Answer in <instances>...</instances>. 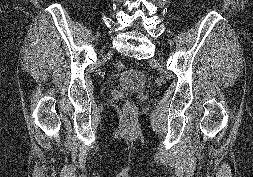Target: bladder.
<instances>
[{
    "label": "bladder",
    "mask_w": 253,
    "mask_h": 177,
    "mask_svg": "<svg viewBox=\"0 0 253 177\" xmlns=\"http://www.w3.org/2000/svg\"><path fill=\"white\" fill-rule=\"evenodd\" d=\"M118 81L122 86L140 87L145 84V77L136 69H127L122 72Z\"/></svg>",
    "instance_id": "1"
}]
</instances>
